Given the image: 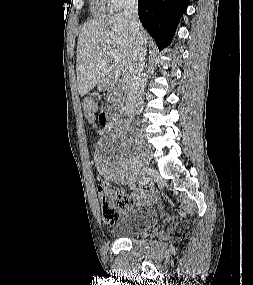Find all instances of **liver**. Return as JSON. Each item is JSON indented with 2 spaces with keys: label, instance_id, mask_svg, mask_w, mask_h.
I'll return each mask as SVG.
<instances>
[{
  "label": "liver",
  "instance_id": "1",
  "mask_svg": "<svg viewBox=\"0 0 253 285\" xmlns=\"http://www.w3.org/2000/svg\"><path fill=\"white\" fill-rule=\"evenodd\" d=\"M145 41L147 33L143 30ZM132 45V34L123 13L103 17L83 25L77 43V86L81 96L87 94L105 77L114 50L122 71Z\"/></svg>",
  "mask_w": 253,
  "mask_h": 285
}]
</instances>
